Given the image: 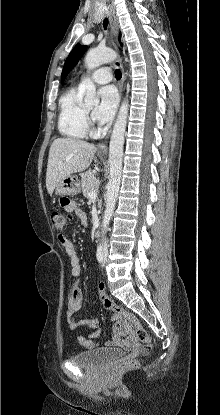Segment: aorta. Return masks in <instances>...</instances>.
<instances>
[{
	"label": "aorta",
	"mask_w": 220,
	"mask_h": 415,
	"mask_svg": "<svg viewBox=\"0 0 220 415\" xmlns=\"http://www.w3.org/2000/svg\"><path fill=\"white\" fill-rule=\"evenodd\" d=\"M117 54L110 48L103 49H91L87 52L85 57V65L88 70L95 69L104 63L115 60ZM83 87L85 89L84 102L86 105H98L99 97L96 94V87L93 82L87 78ZM128 118V103L124 101L119 109V113L111 134L109 145V166H110V179L106 186V209L103 216V235L105 234L107 227L110 223L115 203L120 187L121 174H122V156L124 145V134L127 125Z\"/></svg>",
	"instance_id": "obj_1"
}]
</instances>
